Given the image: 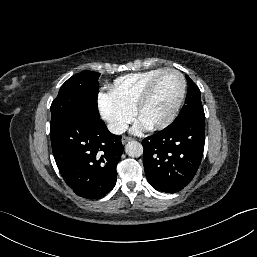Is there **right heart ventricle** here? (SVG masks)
<instances>
[{"mask_svg": "<svg viewBox=\"0 0 257 257\" xmlns=\"http://www.w3.org/2000/svg\"><path fill=\"white\" fill-rule=\"evenodd\" d=\"M162 70L163 68H157L119 77L109 87L108 96L132 110L145 87Z\"/></svg>", "mask_w": 257, "mask_h": 257, "instance_id": "obj_1", "label": "right heart ventricle"}]
</instances>
